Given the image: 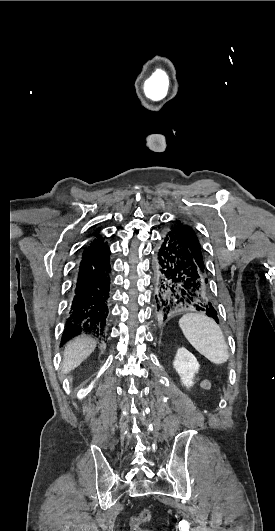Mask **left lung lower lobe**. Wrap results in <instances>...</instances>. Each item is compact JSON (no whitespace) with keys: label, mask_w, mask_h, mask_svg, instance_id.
<instances>
[{"label":"left lung lower lobe","mask_w":275,"mask_h":531,"mask_svg":"<svg viewBox=\"0 0 275 531\" xmlns=\"http://www.w3.org/2000/svg\"><path fill=\"white\" fill-rule=\"evenodd\" d=\"M153 270L155 309L159 319L165 321L173 312L187 310L201 311L219 323L205 273L173 226L156 245Z\"/></svg>","instance_id":"1"}]
</instances>
